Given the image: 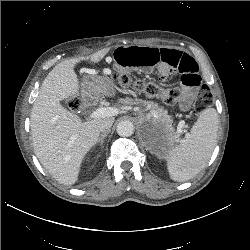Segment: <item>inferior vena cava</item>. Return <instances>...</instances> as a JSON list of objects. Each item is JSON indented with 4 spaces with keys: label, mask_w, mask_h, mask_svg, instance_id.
I'll list each match as a JSON object with an SVG mask.
<instances>
[{
    "label": "inferior vena cava",
    "mask_w": 250,
    "mask_h": 250,
    "mask_svg": "<svg viewBox=\"0 0 250 250\" xmlns=\"http://www.w3.org/2000/svg\"><path fill=\"white\" fill-rule=\"evenodd\" d=\"M114 123V119L113 118H106V119H103L99 125H98V128H99V131L100 132H103V133H106V132H109L110 131V128L112 127Z\"/></svg>",
    "instance_id": "obj_1"
}]
</instances>
